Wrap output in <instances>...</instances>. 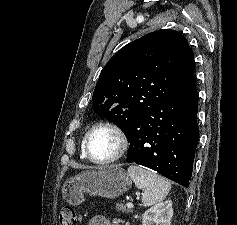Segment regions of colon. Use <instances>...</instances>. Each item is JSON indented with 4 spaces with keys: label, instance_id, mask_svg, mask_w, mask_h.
<instances>
[{
    "label": "colon",
    "instance_id": "obj_1",
    "mask_svg": "<svg viewBox=\"0 0 237 225\" xmlns=\"http://www.w3.org/2000/svg\"><path fill=\"white\" fill-rule=\"evenodd\" d=\"M60 225H75L77 222V214L73 207L64 206L59 214Z\"/></svg>",
    "mask_w": 237,
    "mask_h": 225
}]
</instances>
